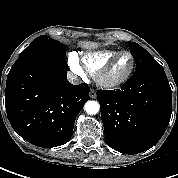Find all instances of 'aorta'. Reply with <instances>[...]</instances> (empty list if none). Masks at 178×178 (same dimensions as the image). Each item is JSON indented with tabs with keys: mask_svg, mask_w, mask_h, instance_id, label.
Returning <instances> with one entry per match:
<instances>
[{
	"mask_svg": "<svg viewBox=\"0 0 178 178\" xmlns=\"http://www.w3.org/2000/svg\"><path fill=\"white\" fill-rule=\"evenodd\" d=\"M84 108L87 114L94 115L99 111V104L96 101H87Z\"/></svg>",
	"mask_w": 178,
	"mask_h": 178,
	"instance_id": "obj_1",
	"label": "aorta"
}]
</instances>
